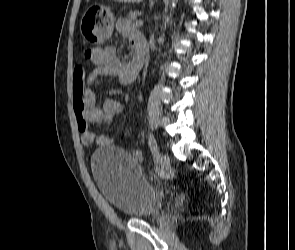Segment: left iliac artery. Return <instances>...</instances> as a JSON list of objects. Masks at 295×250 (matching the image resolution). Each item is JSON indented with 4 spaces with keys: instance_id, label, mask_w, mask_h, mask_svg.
I'll return each instance as SVG.
<instances>
[{
    "instance_id": "obj_1",
    "label": "left iliac artery",
    "mask_w": 295,
    "mask_h": 250,
    "mask_svg": "<svg viewBox=\"0 0 295 250\" xmlns=\"http://www.w3.org/2000/svg\"><path fill=\"white\" fill-rule=\"evenodd\" d=\"M148 145L154 158H156L158 148H157L156 139L152 133H149L148 135Z\"/></svg>"
}]
</instances>
